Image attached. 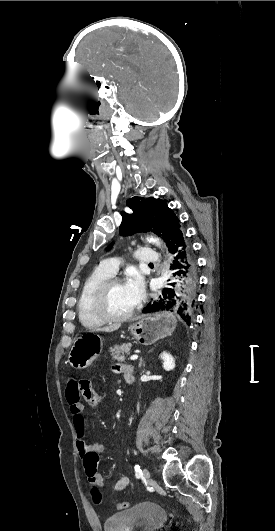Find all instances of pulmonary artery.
Here are the masks:
<instances>
[{
	"instance_id": "e3ab8cb5",
	"label": "pulmonary artery",
	"mask_w": 275,
	"mask_h": 531,
	"mask_svg": "<svg viewBox=\"0 0 275 531\" xmlns=\"http://www.w3.org/2000/svg\"><path fill=\"white\" fill-rule=\"evenodd\" d=\"M134 256L138 258L139 264H147L150 265L152 263H155L157 261V258L159 256V253L157 250H138L136 253H134ZM116 260L115 258L113 259ZM98 269L100 272H107L109 274L118 275L120 273V268L114 264L113 261H100L98 264Z\"/></svg>"
}]
</instances>
